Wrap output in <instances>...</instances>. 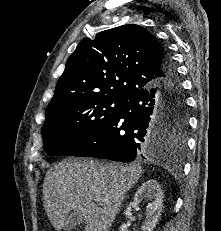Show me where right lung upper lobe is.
Segmentation results:
<instances>
[{"instance_id":"obj_1","label":"right lung upper lobe","mask_w":221,"mask_h":231,"mask_svg":"<svg viewBox=\"0 0 221 231\" xmlns=\"http://www.w3.org/2000/svg\"><path fill=\"white\" fill-rule=\"evenodd\" d=\"M164 48L145 28L127 24L82 40L66 62L46 117L92 96L125 99L163 79Z\"/></svg>"}]
</instances>
